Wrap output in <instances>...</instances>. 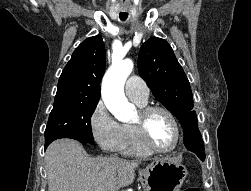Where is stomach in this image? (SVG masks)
Returning a JSON list of instances; mask_svg holds the SVG:
<instances>
[{
	"mask_svg": "<svg viewBox=\"0 0 251 191\" xmlns=\"http://www.w3.org/2000/svg\"><path fill=\"white\" fill-rule=\"evenodd\" d=\"M187 175L183 163H174L168 157H154L145 169L139 171L144 191H180Z\"/></svg>",
	"mask_w": 251,
	"mask_h": 191,
	"instance_id": "obj_1",
	"label": "stomach"
}]
</instances>
